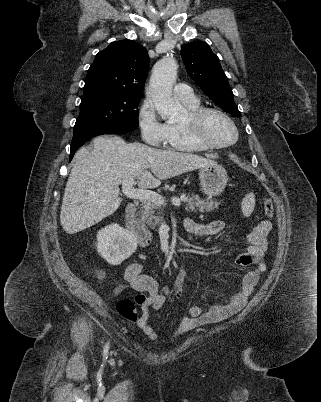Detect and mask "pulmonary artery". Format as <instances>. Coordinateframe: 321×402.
I'll return each instance as SVG.
<instances>
[{
	"mask_svg": "<svg viewBox=\"0 0 321 402\" xmlns=\"http://www.w3.org/2000/svg\"><path fill=\"white\" fill-rule=\"evenodd\" d=\"M174 95L182 102H190L196 100V96L192 88L186 84L178 83L173 89Z\"/></svg>",
	"mask_w": 321,
	"mask_h": 402,
	"instance_id": "obj_1",
	"label": "pulmonary artery"
}]
</instances>
